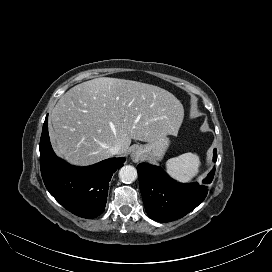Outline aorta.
<instances>
[{"label":"aorta","mask_w":272,"mask_h":272,"mask_svg":"<svg viewBox=\"0 0 272 272\" xmlns=\"http://www.w3.org/2000/svg\"><path fill=\"white\" fill-rule=\"evenodd\" d=\"M119 178L124 183H132L137 179V170L134 166L126 165L119 170Z\"/></svg>","instance_id":"obj_1"}]
</instances>
